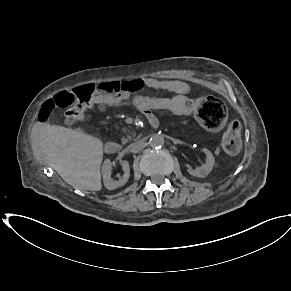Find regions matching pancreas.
I'll use <instances>...</instances> for the list:
<instances>
[{"label": "pancreas", "instance_id": "cf45deb5", "mask_svg": "<svg viewBox=\"0 0 291 291\" xmlns=\"http://www.w3.org/2000/svg\"><path fill=\"white\" fill-rule=\"evenodd\" d=\"M127 141H128V138H123V139H122V143H123V144L127 143Z\"/></svg>", "mask_w": 291, "mask_h": 291}]
</instances>
